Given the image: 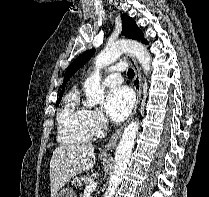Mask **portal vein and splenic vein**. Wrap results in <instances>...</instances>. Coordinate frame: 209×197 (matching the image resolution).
<instances>
[{
	"instance_id": "portal-vein-and-splenic-vein-1",
	"label": "portal vein and splenic vein",
	"mask_w": 209,
	"mask_h": 197,
	"mask_svg": "<svg viewBox=\"0 0 209 197\" xmlns=\"http://www.w3.org/2000/svg\"><path fill=\"white\" fill-rule=\"evenodd\" d=\"M95 188H96V182L94 180H91L86 184L84 192H91Z\"/></svg>"
}]
</instances>
